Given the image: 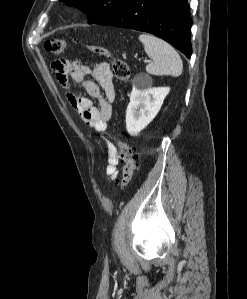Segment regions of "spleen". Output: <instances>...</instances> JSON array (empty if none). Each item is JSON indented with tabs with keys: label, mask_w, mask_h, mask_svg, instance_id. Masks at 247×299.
<instances>
[{
	"label": "spleen",
	"mask_w": 247,
	"mask_h": 299,
	"mask_svg": "<svg viewBox=\"0 0 247 299\" xmlns=\"http://www.w3.org/2000/svg\"><path fill=\"white\" fill-rule=\"evenodd\" d=\"M146 54L151 62L146 71L152 75H171L178 77L183 70V63L177 51L167 42L149 34L139 35Z\"/></svg>",
	"instance_id": "3e777b00"
}]
</instances>
